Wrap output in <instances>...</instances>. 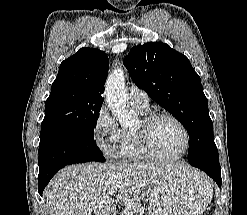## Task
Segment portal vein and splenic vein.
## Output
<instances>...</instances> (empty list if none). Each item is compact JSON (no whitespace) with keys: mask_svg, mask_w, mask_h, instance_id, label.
Here are the masks:
<instances>
[{"mask_svg":"<svg viewBox=\"0 0 247 215\" xmlns=\"http://www.w3.org/2000/svg\"><path fill=\"white\" fill-rule=\"evenodd\" d=\"M108 194L111 195V196L114 195V194H115V190H114V189H110V190L108 191Z\"/></svg>","mask_w":247,"mask_h":215,"instance_id":"18ae733b","label":"portal vein and splenic vein"}]
</instances>
